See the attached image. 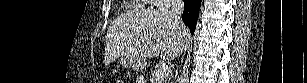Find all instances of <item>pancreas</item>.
I'll return each instance as SVG.
<instances>
[{
  "label": "pancreas",
  "mask_w": 307,
  "mask_h": 83,
  "mask_svg": "<svg viewBox=\"0 0 307 83\" xmlns=\"http://www.w3.org/2000/svg\"><path fill=\"white\" fill-rule=\"evenodd\" d=\"M157 72H158V70L156 69V70H154V72L151 74V79H152V80H155V79H156ZM164 79H165V82H167V81H166L167 78H164Z\"/></svg>",
  "instance_id": "obj_1"
}]
</instances>
